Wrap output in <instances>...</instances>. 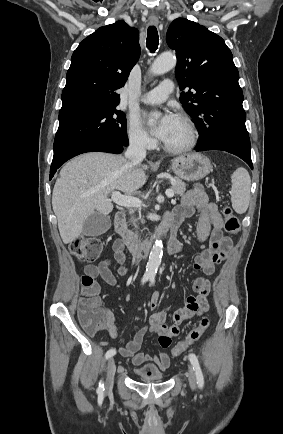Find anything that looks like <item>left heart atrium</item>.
Segmentation results:
<instances>
[{
	"label": "left heart atrium",
	"instance_id": "39dd6f15",
	"mask_svg": "<svg viewBox=\"0 0 283 434\" xmlns=\"http://www.w3.org/2000/svg\"><path fill=\"white\" fill-rule=\"evenodd\" d=\"M177 122V116L173 113L167 112L161 116L156 125L153 127L152 132L159 139L166 141L171 135Z\"/></svg>",
	"mask_w": 283,
	"mask_h": 434
}]
</instances>
